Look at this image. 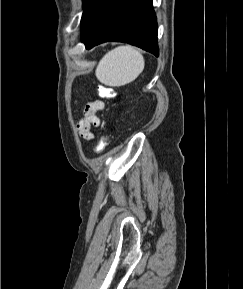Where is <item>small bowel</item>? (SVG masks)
Segmentation results:
<instances>
[{
    "instance_id": "obj_1",
    "label": "small bowel",
    "mask_w": 243,
    "mask_h": 289,
    "mask_svg": "<svg viewBox=\"0 0 243 289\" xmlns=\"http://www.w3.org/2000/svg\"><path fill=\"white\" fill-rule=\"evenodd\" d=\"M104 106V102L100 99H93L86 103L83 117L77 125L78 133L83 139H93L92 128L100 126L98 113L104 109Z\"/></svg>"
}]
</instances>
